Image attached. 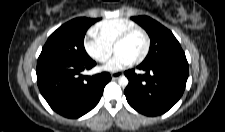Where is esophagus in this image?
I'll return each instance as SVG.
<instances>
[{
	"label": "esophagus",
	"mask_w": 225,
	"mask_h": 132,
	"mask_svg": "<svg viewBox=\"0 0 225 132\" xmlns=\"http://www.w3.org/2000/svg\"><path fill=\"white\" fill-rule=\"evenodd\" d=\"M120 75H121V73L116 72V73H112L111 77H112V79H117Z\"/></svg>",
	"instance_id": "esophagus-1"
}]
</instances>
